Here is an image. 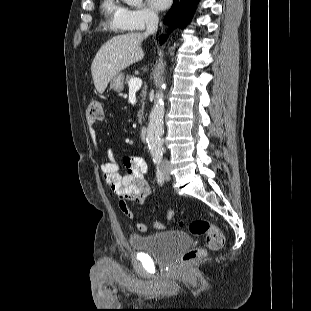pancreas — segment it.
Instances as JSON below:
<instances>
[{"instance_id": "1", "label": "pancreas", "mask_w": 311, "mask_h": 311, "mask_svg": "<svg viewBox=\"0 0 311 311\" xmlns=\"http://www.w3.org/2000/svg\"><path fill=\"white\" fill-rule=\"evenodd\" d=\"M133 78H134V76L127 75L126 79H125V82L129 84L130 80L133 79ZM140 96L142 97V101L141 102L144 103V100H145V97H146V90L145 89L142 90ZM137 116H138L139 124H142V121H143V111H140Z\"/></svg>"}]
</instances>
